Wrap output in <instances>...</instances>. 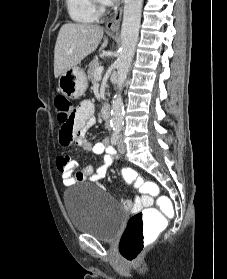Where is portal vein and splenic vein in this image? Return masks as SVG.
Wrapping results in <instances>:
<instances>
[{"label": "portal vein and splenic vein", "mask_w": 227, "mask_h": 279, "mask_svg": "<svg viewBox=\"0 0 227 279\" xmlns=\"http://www.w3.org/2000/svg\"><path fill=\"white\" fill-rule=\"evenodd\" d=\"M102 72H103V67H99L96 69L94 73V78L96 81H100L102 79Z\"/></svg>", "instance_id": "portal-vein-and-splenic-vein-1"}]
</instances>
